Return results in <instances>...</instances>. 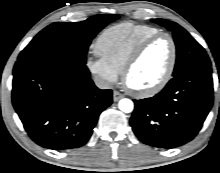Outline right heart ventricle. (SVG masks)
<instances>
[{
  "instance_id": "e07e8e85",
  "label": "right heart ventricle",
  "mask_w": 220,
  "mask_h": 173,
  "mask_svg": "<svg viewBox=\"0 0 220 173\" xmlns=\"http://www.w3.org/2000/svg\"><path fill=\"white\" fill-rule=\"evenodd\" d=\"M159 30L150 25L131 22L120 23L106 28L98 36L95 49L97 54L118 73L136 46Z\"/></svg>"
}]
</instances>
